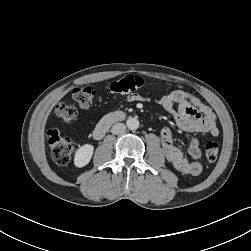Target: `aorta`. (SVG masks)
Listing matches in <instances>:
<instances>
[{
    "label": "aorta",
    "mask_w": 251,
    "mask_h": 251,
    "mask_svg": "<svg viewBox=\"0 0 251 251\" xmlns=\"http://www.w3.org/2000/svg\"><path fill=\"white\" fill-rule=\"evenodd\" d=\"M129 130H137L139 128V120L135 117H130L126 121Z\"/></svg>",
    "instance_id": "762f6f07"
}]
</instances>
